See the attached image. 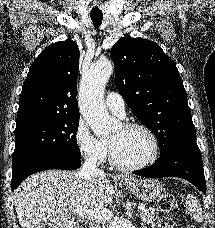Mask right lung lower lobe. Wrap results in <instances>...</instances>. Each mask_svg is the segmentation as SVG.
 Returning a JSON list of instances; mask_svg holds the SVG:
<instances>
[{"mask_svg": "<svg viewBox=\"0 0 215 228\" xmlns=\"http://www.w3.org/2000/svg\"><path fill=\"white\" fill-rule=\"evenodd\" d=\"M81 165L80 158L53 153L38 154L13 163L12 191L29 175L48 169L75 170Z\"/></svg>", "mask_w": 215, "mask_h": 228, "instance_id": "1", "label": "right lung lower lobe"}]
</instances>
